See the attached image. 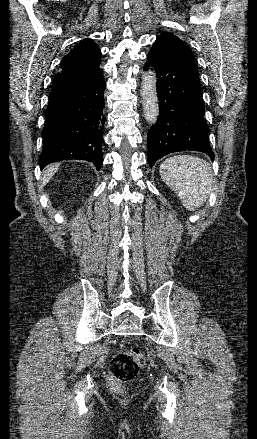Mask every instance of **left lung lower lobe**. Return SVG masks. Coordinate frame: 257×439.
Segmentation results:
<instances>
[{
  "label": "left lung lower lobe",
  "instance_id": "left-lung-lower-lobe-1",
  "mask_svg": "<svg viewBox=\"0 0 257 439\" xmlns=\"http://www.w3.org/2000/svg\"><path fill=\"white\" fill-rule=\"evenodd\" d=\"M157 75L158 121L148 132L150 167L163 156L179 151H199L214 159L199 72L185 54L167 41L154 42L144 70Z\"/></svg>",
  "mask_w": 257,
  "mask_h": 439
}]
</instances>
